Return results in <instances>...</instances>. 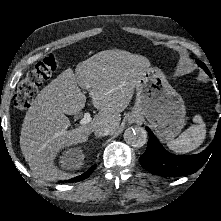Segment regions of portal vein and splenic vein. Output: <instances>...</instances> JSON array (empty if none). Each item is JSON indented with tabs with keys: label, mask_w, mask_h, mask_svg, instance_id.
Masks as SVG:
<instances>
[{
	"label": "portal vein and splenic vein",
	"mask_w": 221,
	"mask_h": 221,
	"mask_svg": "<svg viewBox=\"0 0 221 221\" xmlns=\"http://www.w3.org/2000/svg\"><path fill=\"white\" fill-rule=\"evenodd\" d=\"M91 121V115L89 112L84 114V117L80 121V125H86Z\"/></svg>",
	"instance_id": "18ae733b"
}]
</instances>
